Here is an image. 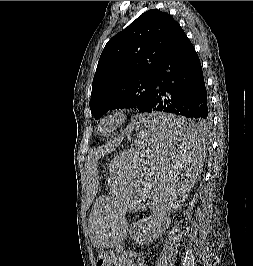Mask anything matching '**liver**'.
<instances>
[{
  "instance_id": "6515ba94",
  "label": "liver",
  "mask_w": 253,
  "mask_h": 266,
  "mask_svg": "<svg viewBox=\"0 0 253 266\" xmlns=\"http://www.w3.org/2000/svg\"><path fill=\"white\" fill-rule=\"evenodd\" d=\"M120 142H121V139L114 141L111 144L106 145L104 148H100L94 151V153L89 156L87 165L90 166L92 162H97L101 156L111 153L113 150L116 149V147L119 146Z\"/></svg>"
}]
</instances>
